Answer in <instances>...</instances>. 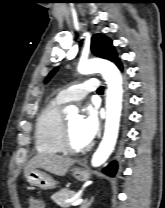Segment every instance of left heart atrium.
Segmentation results:
<instances>
[{"instance_id":"obj_1","label":"left heart atrium","mask_w":165,"mask_h":208,"mask_svg":"<svg viewBox=\"0 0 165 208\" xmlns=\"http://www.w3.org/2000/svg\"><path fill=\"white\" fill-rule=\"evenodd\" d=\"M99 115L95 106H88L85 115L81 118L80 132L87 143H90L99 130Z\"/></svg>"}]
</instances>
